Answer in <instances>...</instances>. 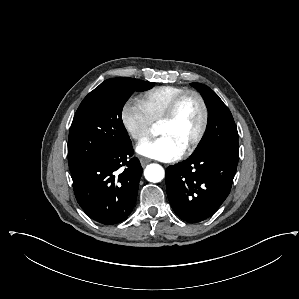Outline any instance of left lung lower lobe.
<instances>
[{
    "instance_id": "obj_1",
    "label": "left lung lower lobe",
    "mask_w": 299,
    "mask_h": 299,
    "mask_svg": "<svg viewBox=\"0 0 299 299\" xmlns=\"http://www.w3.org/2000/svg\"><path fill=\"white\" fill-rule=\"evenodd\" d=\"M237 164V155L215 150L169 166L167 195L176 215L201 222L213 214L229 195Z\"/></svg>"
}]
</instances>
